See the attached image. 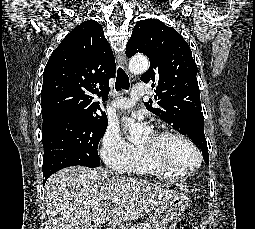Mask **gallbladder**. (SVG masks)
I'll return each mask as SVG.
<instances>
[{
  "mask_svg": "<svg viewBox=\"0 0 255 229\" xmlns=\"http://www.w3.org/2000/svg\"><path fill=\"white\" fill-rule=\"evenodd\" d=\"M94 229H101V226L97 225L96 227H94Z\"/></svg>",
  "mask_w": 255,
  "mask_h": 229,
  "instance_id": "bac80fb5",
  "label": "gallbladder"
}]
</instances>
